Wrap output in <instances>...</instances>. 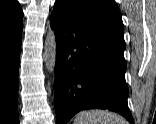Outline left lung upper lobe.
<instances>
[{
    "label": "left lung upper lobe",
    "instance_id": "obj_1",
    "mask_svg": "<svg viewBox=\"0 0 156 124\" xmlns=\"http://www.w3.org/2000/svg\"><path fill=\"white\" fill-rule=\"evenodd\" d=\"M55 5L74 21L124 42L121 13L114 0H57Z\"/></svg>",
    "mask_w": 156,
    "mask_h": 124
}]
</instances>
